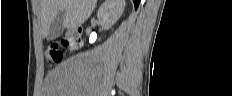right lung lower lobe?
<instances>
[{
  "label": "right lung lower lobe",
  "instance_id": "obj_1",
  "mask_svg": "<svg viewBox=\"0 0 232 96\" xmlns=\"http://www.w3.org/2000/svg\"><path fill=\"white\" fill-rule=\"evenodd\" d=\"M134 2V5H135V9H137L139 3H140V0H133Z\"/></svg>",
  "mask_w": 232,
  "mask_h": 96
}]
</instances>
